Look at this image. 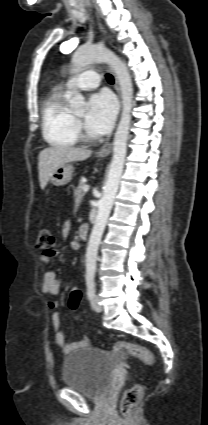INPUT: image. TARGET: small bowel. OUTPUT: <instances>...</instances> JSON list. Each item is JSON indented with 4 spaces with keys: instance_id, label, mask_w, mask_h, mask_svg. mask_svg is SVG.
<instances>
[{
    "instance_id": "c3829d8e",
    "label": "small bowel",
    "mask_w": 208,
    "mask_h": 425,
    "mask_svg": "<svg viewBox=\"0 0 208 425\" xmlns=\"http://www.w3.org/2000/svg\"><path fill=\"white\" fill-rule=\"evenodd\" d=\"M69 224H66L63 228V234L64 236H66L69 232ZM55 252L52 255H46L43 254L40 257V260L45 263V264H49L51 262V258L53 256H55ZM43 292L50 295V296H56L59 291H60V282L56 276V273L52 270L47 271L44 274V280H43ZM49 308L50 309H57L58 304L56 301L54 300H50L48 302ZM52 325H53V330H54V337H55V341L57 343V345L62 349V351L64 353H70L71 351L86 346L88 344V339L86 337H83L80 341L77 342H70L67 343L65 341V337H64V333H63V328H62V321H61V316L58 312H54L52 314Z\"/></svg>"
}]
</instances>
